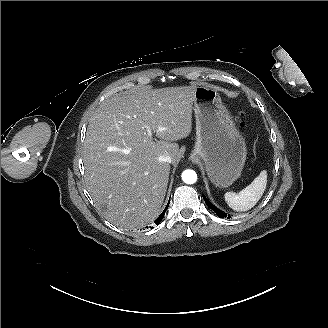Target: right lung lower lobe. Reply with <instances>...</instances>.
<instances>
[{
    "label": "right lung lower lobe",
    "instance_id": "1",
    "mask_svg": "<svg viewBox=\"0 0 328 328\" xmlns=\"http://www.w3.org/2000/svg\"><path fill=\"white\" fill-rule=\"evenodd\" d=\"M169 203L167 204L166 208L164 209V211L162 212V214L154 221L157 225L160 223V221L163 219L165 212L167 210Z\"/></svg>",
    "mask_w": 328,
    "mask_h": 328
}]
</instances>
